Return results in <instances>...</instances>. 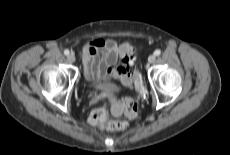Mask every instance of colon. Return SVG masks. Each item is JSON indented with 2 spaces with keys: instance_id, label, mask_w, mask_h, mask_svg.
Returning a JSON list of instances; mask_svg holds the SVG:
<instances>
[{
  "instance_id": "5ec220e1",
  "label": "colon",
  "mask_w": 230,
  "mask_h": 155,
  "mask_svg": "<svg viewBox=\"0 0 230 155\" xmlns=\"http://www.w3.org/2000/svg\"><path fill=\"white\" fill-rule=\"evenodd\" d=\"M134 48L127 45L124 49V63L125 73L132 79L134 74L131 70V66L134 60ZM124 110L125 114L129 118H135L137 116V103L133 99H127L122 106L117 105V101L112 98L103 99L98 108L93 110L88 121L91 125L97 126L101 129L108 131H123L127 129L128 123L124 120H113L110 118L111 111L118 113Z\"/></svg>"
}]
</instances>
